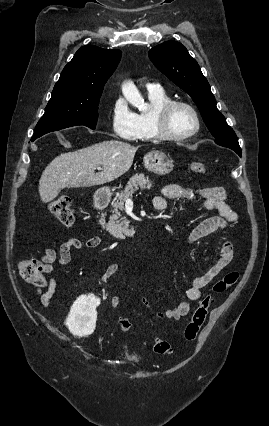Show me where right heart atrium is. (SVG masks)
<instances>
[{"mask_svg": "<svg viewBox=\"0 0 269 426\" xmlns=\"http://www.w3.org/2000/svg\"><path fill=\"white\" fill-rule=\"evenodd\" d=\"M110 124L114 135L125 140H134L138 136L136 114L122 97H116L110 108Z\"/></svg>", "mask_w": 269, "mask_h": 426, "instance_id": "d8ad5b80", "label": "right heart atrium"}]
</instances>
